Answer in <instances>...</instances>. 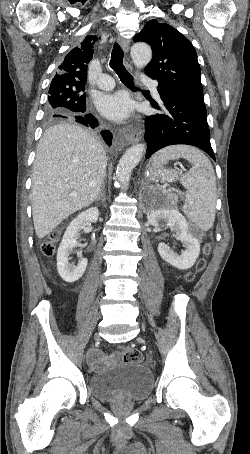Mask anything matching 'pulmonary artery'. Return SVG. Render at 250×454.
Instances as JSON below:
<instances>
[{
  "label": "pulmonary artery",
  "instance_id": "e3ab8cb5",
  "mask_svg": "<svg viewBox=\"0 0 250 454\" xmlns=\"http://www.w3.org/2000/svg\"><path fill=\"white\" fill-rule=\"evenodd\" d=\"M141 79L144 83H146L152 90V93L154 95L155 98L159 99V93H158V90H157V87H156V82L153 81V80H150L148 79L146 76L142 75L141 76ZM97 85L98 87L101 89V90H111L114 88L115 86V81L114 79L109 76V75H102L98 82H97Z\"/></svg>",
  "mask_w": 250,
  "mask_h": 454
}]
</instances>
